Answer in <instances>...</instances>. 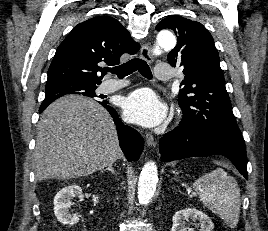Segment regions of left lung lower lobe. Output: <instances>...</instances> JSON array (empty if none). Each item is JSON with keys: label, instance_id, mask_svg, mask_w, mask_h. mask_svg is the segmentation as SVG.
<instances>
[{"label": "left lung lower lobe", "instance_id": "0a47b994", "mask_svg": "<svg viewBox=\"0 0 268 231\" xmlns=\"http://www.w3.org/2000/svg\"><path fill=\"white\" fill-rule=\"evenodd\" d=\"M163 161L179 160L196 156L223 155L228 157L247 179L245 142L228 135L185 127L179 124L160 139Z\"/></svg>", "mask_w": 268, "mask_h": 231}]
</instances>
